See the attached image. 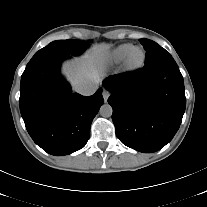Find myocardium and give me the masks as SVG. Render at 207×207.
Returning <instances> with one entry per match:
<instances>
[{
    "label": "myocardium",
    "instance_id": "obj_1",
    "mask_svg": "<svg viewBox=\"0 0 207 207\" xmlns=\"http://www.w3.org/2000/svg\"><path fill=\"white\" fill-rule=\"evenodd\" d=\"M136 52L141 53V59L138 62H133V56ZM145 62H146L145 50L140 46L133 47L132 50L127 55V57L125 58L123 70L125 73H129V74L135 73L143 68Z\"/></svg>",
    "mask_w": 207,
    "mask_h": 207
}]
</instances>
